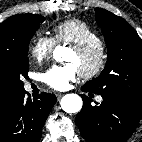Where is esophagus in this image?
Returning a JSON list of instances; mask_svg holds the SVG:
<instances>
[{
    "instance_id": "1",
    "label": "esophagus",
    "mask_w": 142,
    "mask_h": 142,
    "mask_svg": "<svg viewBox=\"0 0 142 142\" xmlns=\"http://www.w3.org/2000/svg\"><path fill=\"white\" fill-rule=\"evenodd\" d=\"M56 96H57V99L60 100L62 98L63 94L58 93V94H56Z\"/></svg>"
}]
</instances>
